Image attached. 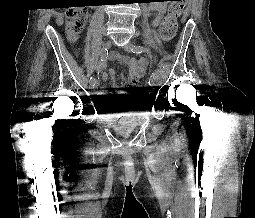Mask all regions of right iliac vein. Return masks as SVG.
I'll return each instance as SVG.
<instances>
[{
	"mask_svg": "<svg viewBox=\"0 0 255 218\" xmlns=\"http://www.w3.org/2000/svg\"><path fill=\"white\" fill-rule=\"evenodd\" d=\"M111 45H112L111 40H107V41L105 42V44H104V48H105V49H109V48L111 47ZM90 85H91V88H92V89H96V88L98 87V82H97V80H94L93 82H91Z\"/></svg>",
	"mask_w": 255,
	"mask_h": 218,
	"instance_id": "1",
	"label": "right iliac vein"
}]
</instances>
